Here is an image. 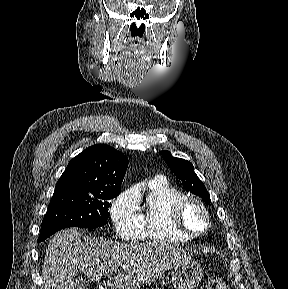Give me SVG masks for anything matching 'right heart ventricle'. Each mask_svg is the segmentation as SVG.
I'll use <instances>...</instances> for the list:
<instances>
[{"label": "right heart ventricle", "instance_id": "1", "mask_svg": "<svg viewBox=\"0 0 288 289\" xmlns=\"http://www.w3.org/2000/svg\"><path fill=\"white\" fill-rule=\"evenodd\" d=\"M183 191L165 179L152 181L143 194L136 197L141 227L139 237L156 244H181L190 240L170 222L169 209L185 197Z\"/></svg>", "mask_w": 288, "mask_h": 289}]
</instances>
